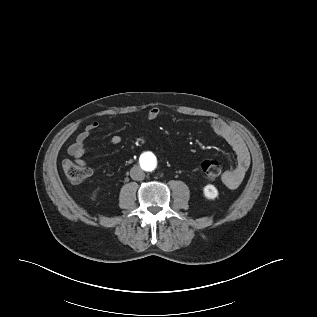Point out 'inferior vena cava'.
I'll return each mask as SVG.
<instances>
[{
    "instance_id": "602c4592",
    "label": "inferior vena cava",
    "mask_w": 317,
    "mask_h": 317,
    "mask_svg": "<svg viewBox=\"0 0 317 317\" xmlns=\"http://www.w3.org/2000/svg\"><path fill=\"white\" fill-rule=\"evenodd\" d=\"M130 176L133 180L141 181L145 178V173L139 166H134L130 170Z\"/></svg>"
}]
</instances>
